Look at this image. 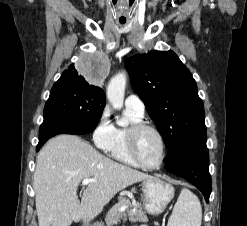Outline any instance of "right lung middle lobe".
Segmentation results:
<instances>
[{
  "label": "right lung middle lobe",
  "instance_id": "dd1d6c3e",
  "mask_svg": "<svg viewBox=\"0 0 247 226\" xmlns=\"http://www.w3.org/2000/svg\"><path fill=\"white\" fill-rule=\"evenodd\" d=\"M104 107L105 98L93 89L78 85L71 77L60 78L53 85L45 104L43 122L60 120L95 128Z\"/></svg>",
  "mask_w": 247,
  "mask_h": 226
}]
</instances>
